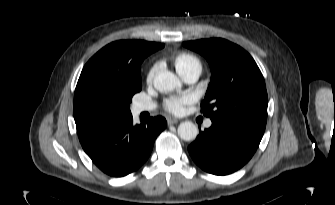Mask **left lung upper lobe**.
I'll use <instances>...</instances> for the list:
<instances>
[{
  "label": "left lung upper lobe",
  "mask_w": 335,
  "mask_h": 205,
  "mask_svg": "<svg viewBox=\"0 0 335 205\" xmlns=\"http://www.w3.org/2000/svg\"><path fill=\"white\" fill-rule=\"evenodd\" d=\"M183 46L203 55L211 68L202 113L265 130L268 96L263 75L250 54L221 38L188 41Z\"/></svg>",
  "instance_id": "1"
}]
</instances>
